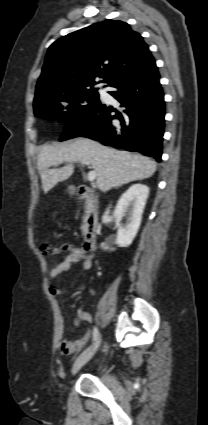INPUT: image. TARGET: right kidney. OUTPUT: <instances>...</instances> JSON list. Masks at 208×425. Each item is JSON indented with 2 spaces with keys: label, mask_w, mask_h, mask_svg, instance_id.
<instances>
[{
  "label": "right kidney",
  "mask_w": 208,
  "mask_h": 425,
  "mask_svg": "<svg viewBox=\"0 0 208 425\" xmlns=\"http://www.w3.org/2000/svg\"><path fill=\"white\" fill-rule=\"evenodd\" d=\"M148 195L149 188L146 185L134 184L118 200L114 210L115 222L118 224L123 218L127 219L126 226L120 227L117 232L115 243L119 247H128L132 244L141 224Z\"/></svg>",
  "instance_id": "right-kidney-1"
}]
</instances>
